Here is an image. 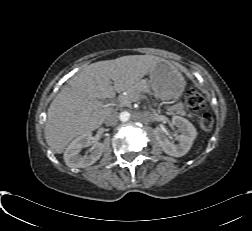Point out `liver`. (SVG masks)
Masks as SVG:
<instances>
[{"mask_svg":"<svg viewBox=\"0 0 252 231\" xmlns=\"http://www.w3.org/2000/svg\"><path fill=\"white\" fill-rule=\"evenodd\" d=\"M160 60L153 55H129L82 69L49 106L44 135L50 148L61 154L75 137L99 128L114 111L102 100L113 98L116 92L138 90L141 79Z\"/></svg>","mask_w":252,"mask_h":231,"instance_id":"6515ba94","label":"liver"}]
</instances>
